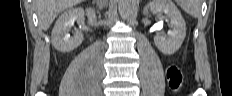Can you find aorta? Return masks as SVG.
<instances>
[{"instance_id":"obj_1","label":"aorta","mask_w":232,"mask_h":96,"mask_svg":"<svg viewBox=\"0 0 232 96\" xmlns=\"http://www.w3.org/2000/svg\"><path fill=\"white\" fill-rule=\"evenodd\" d=\"M134 6L133 0H118V7L122 17L127 18L131 14Z\"/></svg>"}]
</instances>
